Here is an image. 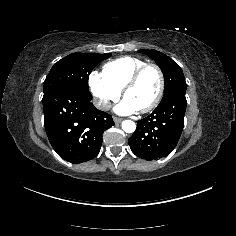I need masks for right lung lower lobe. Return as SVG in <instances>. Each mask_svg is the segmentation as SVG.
Listing matches in <instances>:
<instances>
[{"mask_svg": "<svg viewBox=\"0 0 236 236\" xmlns=\"http://www.w3.org/2000/svg\"><path fill=\"white\" fill-rule=\"evenodd\" d=\"M91 97L68 88L43 96L44 126L56 153L73 164L95 158L102 134L114 125L112 116L90 102Z\"/></svg>", "mask_w": 236, "mask_h": 236, "instance_id": "98d812e1", "label": "right lung lower lobe"}]
</instances>
